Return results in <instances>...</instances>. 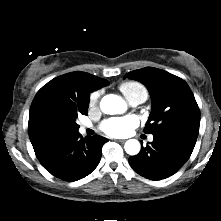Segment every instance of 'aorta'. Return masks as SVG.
I'll return each instance as SVG.
<instances>
[{"mask_svg":"<svg viewBox=\"0 0 221 221\" xmlns=\"http://www.w3.org/2000/svg\"><path fill=\"white\" fill-rule=\"evenodd\" d=\"M100 108L105 114H118L126 109L125 101L114 94L104 96L100 102ZM140 143L136 139H129L125 142L124 149L129 155H136L140 151Z\"/></svg>","mask_w":221,"mask_h":221,"instance_id":"1","label":"aorta"}]
</instances>
